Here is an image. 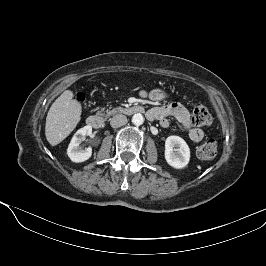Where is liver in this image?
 I'll return each mask as SVG.
<instances>
[{"label":"liver","mask_w":266,"mask_h":266,"mask_svg":"<svg viewBox=\"0 0 266 266\" xmlns=\"http://www.w3.org/2000/svg\"><path fill=\"white\" fill-rule=\"evenodd\" d=\"M73 92H63L50 107L45 125V135L51 145L62 142L81 119V104L73 99Z\"/></svg>","instance_id":"obj_1"}]
</instances>
